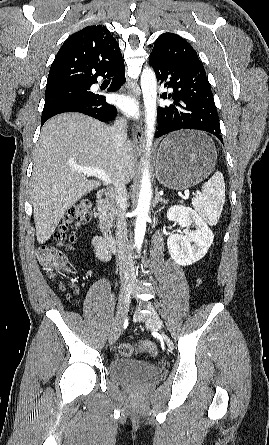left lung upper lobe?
Returning <instances> with one entry per match:
<instances>
[{
	"label": "left lung upper lobe",
	"instance_id": "5c2ea615",
	"mask_svg": "<svg viewBox=\"0 0 269 445\" xmlns=\"http://www.w3.org/2000/svg\"><path fill=\"white\" fill-rule=\"evenodd\" d=\"M150 57L173 64L199 63L197 52L182 37L173 33L160 35L154 43Z\"/></svg>",
	"mask_w": 269,
	"mask_h": 445
}]
</instances>
